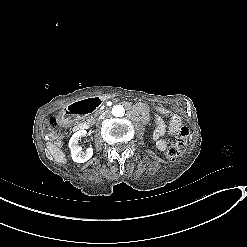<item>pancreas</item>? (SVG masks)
Masks as SVG:
<instances>
[{
	"instance_id": "pancreas-1",
	"label": "pancreas",
	"mask_w": 247,
	"mask_h": 247,
	"mask_svg": "<svg viewBox=\"0 0 247 247\" xmlns=\"http://www.w3.org/2000/svg\"><path fill=\"white\" fill-rule=\"evenodd\" d=\"M97 117H98V114L95 113L89 117L88 121H91L92 123H94L97 120Z\"/></svg>"
}]
</instances>
